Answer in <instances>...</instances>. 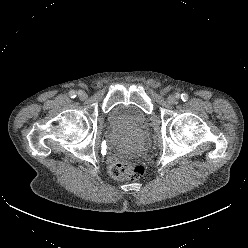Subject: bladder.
Here are the masks:
<instances>
[{
  "instance_id": "31cf9c89",
  "label": "bladder",
  "mask_w": 248,
  "mask_h": 248,
  "mask_svg": "<svg viewBox=\"0 0 248 248\" xmlns=\"http://www.w3.org/2000/svg\"><path fill=\"white\" fill-rule=\"evenodd\" d=\"M147 116L131 106L118 105L110 114L108 125L111 144L118 149H139L147 144Z\"/></svg>"
}]
</instances>
